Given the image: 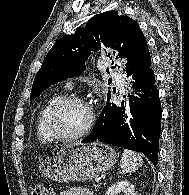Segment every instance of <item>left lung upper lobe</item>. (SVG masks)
Segmentation results:
<instances>
[{
  "label": "left lung upper lobe",
  "mask_w": 189,
  "mask_h": 195,
  "mask_svg": "<svg viewBox=\"0 0 189 195\" xmlns=\"http://www.w3.org/2000/svg\"><path fill=\"white\" fill-rule=\"evenodd\" d=\"M105 47L111 48L117 59L126 61L127 74L150 59L146 38L138 23L117 11L103 12L92 17L84 28L76 29L73 35L56 41L36 74L30 99H35L52 84L81 75L91 53Z\"/></svg>",
  "instance_id": "1"
}]
</instances>
